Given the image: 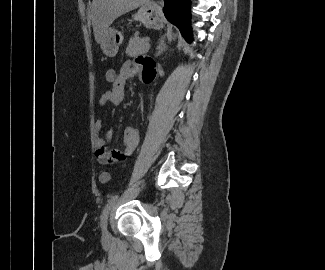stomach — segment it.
<instances>
[{
    "label": "stomach",
    "mask_w": 325,
    "mask_h": 270,
    "mask_svg": "<svg viewBox=\"0 0 325 270\" xmlns=\"http://www.w3.org/2000/svg\"><path fill=\"white\" fill-rule=\"evenodd\" d=\"M133 18L147 28L159 30L164 26L161 12L152 3L143 4ZM123 39L124 37L119 31L109 28L101 44L103 53L108 57H114Z\"/></svg>",
    "instance_id": "stomach-1"
}]
</instances>
